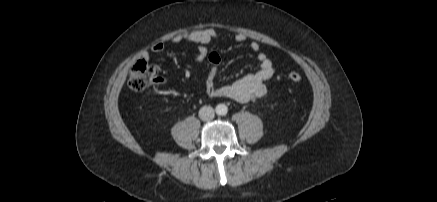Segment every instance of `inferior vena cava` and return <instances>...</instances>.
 Segmentation results:
<instances>
[{
  "instance_id": "obj_1",
  "label": "inferior vena cava",
  "mask_w": 437,
  "mask_h": 202,
  "mask_svg": "<svg viewBox=\"0 0 437 202\" xmlns=\"http://www.w3.org/2000/svg\"><path fill=\"white\" fill-rule=\"evenodd\" d=\"M215 111L211 106H203L199 110V117L202 121H210L214 118Z\"/></svg>"
}]
</instances>
